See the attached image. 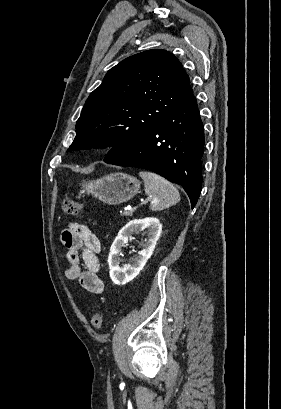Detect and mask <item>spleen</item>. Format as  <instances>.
I'll return each mask as SVG.
<instances>
[{"mask_svg":"<svg viewBox=\"0 0 281 409\" xmlns=\"http://www.w3.org/2000/svg\"><path fill=\"white\" fill-rule=\"evenodd\" d=\"M139 174L144 180L146 194L151 196L150 209L152 211H163L179 202L180 194L172 182L148 170H141Z\"/></svg>","mask_w":281,"mask_h":409,"instance_id":"spleen-1","label":"spleen"}]
</instances>
